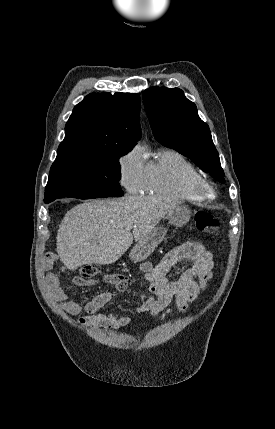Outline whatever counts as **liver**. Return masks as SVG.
Segmentation results:
<instances>
[{
    "label": "liver",
    "mask_w": 275,
    "mask_h": 429,
    "mask_svg": "<svg viewBox=\"0 0 275 429\" xmlns=\"http://www.w3.org/2000/svg\"><path fill=\"white\" fill-rule=\"evenodd\" d=\"M176 206L173 200L153 196H125L79 204L66 213L59 226L58 256L73 271L84 264H112L133 240L148 236Z\"/></svg>",
    "instance_id": "liver-1"
}]
</instances>
